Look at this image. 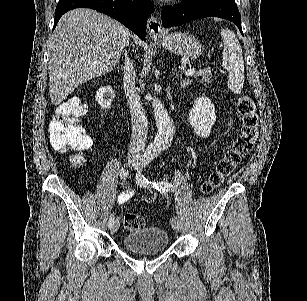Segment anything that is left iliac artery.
<instances>
[{
    "mask_svg": "<svg viewBox=\"0 0 307 301\" xmlns=\"http://www.w3.org/2000/svg\"><path fill=\"white\" fill-rule=\"evenodd\" d=\"M150 159L147 158L146 160L143 161L142 163V168L143 166L145 167V165H147L149 163ZM137 182L140 185H147V186H153L155 187V189H157L158 191H162V192H166V191H172V192H176V187L167 182V181H154L153 183H151L150 181H148L144 175L139 171V174H137Z\"/></svg>",
    "mask_w": 307,
    "mask_h": 301,
    "instance_id": "1",
    "label": "left iliac artery"
}]
</instances>
